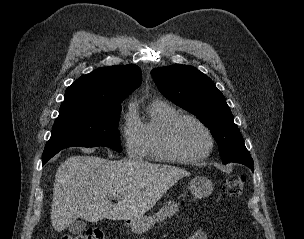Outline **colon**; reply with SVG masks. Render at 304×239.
I'll use <instances>...</instances> for the list:
<instances>
[{
  "label": "colon",
  "instance_id": "1",
  "mask_svg": "<svg viewBox=\"0 0 304 239\" xmlns=\"http://www.w3.org/2000/svg\"><path fill=\"white\" fill-rule=\"evenodd\" d=\"M245 178L243 176H233L226 180L224 193L231 198L240 196L244 191ZM105 232L100 228H90L79 234H66L59 239H104Z\"/></svg>",
  "mask_w": 304,
  "mask_h": 239
}]
</instances>
